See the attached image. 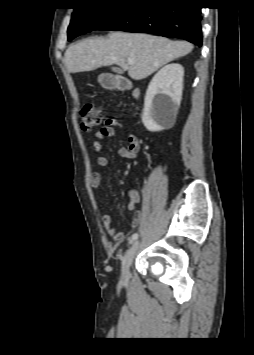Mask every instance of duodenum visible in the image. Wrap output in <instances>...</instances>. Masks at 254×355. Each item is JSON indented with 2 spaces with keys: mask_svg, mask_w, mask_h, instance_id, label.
I'll use <instances>...</instances> for the list:
<instances>
[{
  "mask_svg": "<svg viewBox=\"0 0 254 355\" xmlns=\"http://www.w3.org/2000/svg\"><path fill=\"white\" fill-rule=\"evenodd\" d=\"M108 87L118 88L120 90H125L128 88V84L123 80H112L107 84Z\"/></svg>",
  "mask_w": 254,
  "mask_h": 355,
  "instance_id": "1",
  "label": "duodenum"
}]
</instances>
